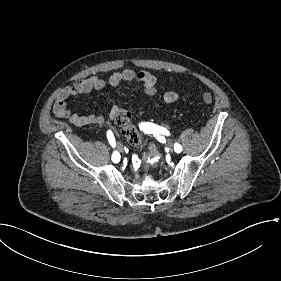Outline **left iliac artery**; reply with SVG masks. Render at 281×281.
Segmentation results:
<instances>
[{
  "label": "left iliac artery",
  "instance_id": "obj_1",
  "mask_svg": "<svg viewBox=\"0 0 281 281\" xmlns=\"http://www.w3.org/2000/svg\"><path fill=\"white\" fill-rule=\"evenodd\" d=\"M139 126L142 131L148 134H153L154 136L159 134L169 135V131L167 129L149 122H143ZM174 150L175 152L180 153L182 151V146L176 143L174 145Z\"/></svg>",
  "mask_w": 281,
  "mask_h": 281
}]
</instances>
